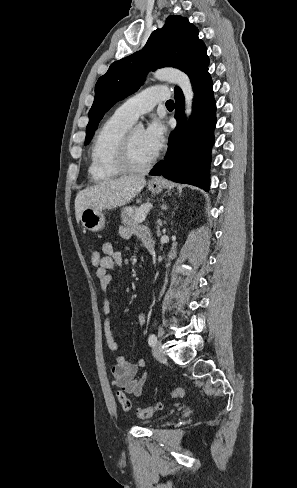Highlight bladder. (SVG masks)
Wrapping results in <instances>:
<instances>
[{"label":"bladder","mask_w":297,"mask_h":488,"mask_svg":"<svg viewBox=\"0 0 297 488\" xmlns=\"http://www.w3.org/2000/svg\"><path fill=\"white\" fill-rule=\"evenodd\" d=\"M167 418V415H162L151 421V424H159Z\"/></svg>","instance_id":"31cf9c89"}]
</instances>
